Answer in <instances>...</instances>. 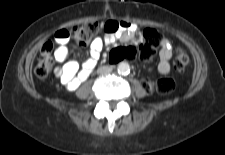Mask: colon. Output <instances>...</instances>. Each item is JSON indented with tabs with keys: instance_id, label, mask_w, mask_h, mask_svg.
Wrapping results in <instances>:
<instances>
[{
	"instance_id": "5ec220e1",
	"label": "colon",
	"mask_w": 225,
	"mask_h": 155,
	"mask_svg": "<svg viewBox=\"0 0 225 155\" xmlns=\"http://www.w3.org/2000/svg\"><path fill=\"white\" fill-rule=\"evenodd\" d=\"M72 33V40L78 47L88 45L99 33L100 26L96 22H88L76 25L69 29ZM160 34L155 29H145L142 34V42L137 46H114L107 55V60L111 64L130 58L139 57L142 60H149L154 55L157 47L160 45ZM190 62L186 50L178 46L175 49L173 66L176 70L185 69ZM54 65L53 44L47 41L43 44L35 67V73L40 79H46L51 73ZM144 87L149 93L166 95L175 89V82L172 79L164 78L158 80L145 79Z\"/></svg>"
}]
</instances>
